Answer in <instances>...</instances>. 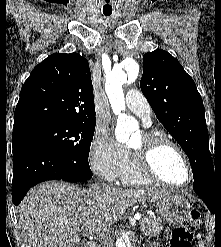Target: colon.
I'll use <instances>...</instances> for the list:
<instances>
[{
  "label": "colon",
  "instance_id": "colon-1",
  "mask_svg": "<svg viewBox=\"0 0 221 247\" xmlns=\"http://www.w3.org/2000/svg\"><path fill=\"white\" fill-rule=\"evenodd\" d=\"M199 224V214L194 211L190 213L182 222L176 227L171 234L169 241L170 247H191L193 239V230Z\"/></svg>",
  "mask_w": 221,
  "mask_h": 247
}]
</instances>
